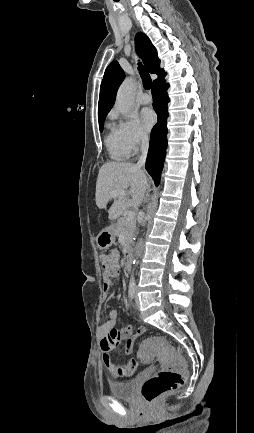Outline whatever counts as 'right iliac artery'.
Segmentation results:
<instances>
[{"label": "right iliac artery", "mask_w": 254, "mask_h": 433, "mask_svg": "<svg viewBox=\"0 0 254 433\" xmlns=\"http://www.w3.org/2000/svg\"><path fill=\"white\" fill-rule=\"evenodd\" d=\"M128 292H129V297L131 299H133L134 295H135V283L134 282H130Z\"/></svg>", "instance_id": "82829eb1"}]
</instances>
